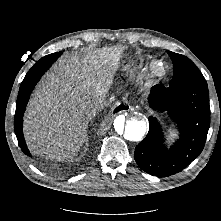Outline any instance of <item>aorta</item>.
<instances>
[{"label": "aorta", "instance_id": "aorta-1", "mask_svg": "<svg viewBox=\"0 0 221 221\" xmlns=\"http://www.w3.org/2000/svg\"><path fill=\"white\" fill-rule=\"evenodd\" d=\"M147 130L146 120L138 114L119 115L113 121V131L124 141H141Z\"/></svg>", "mask_w": 221, "mask_h": 221}]
</instances>
